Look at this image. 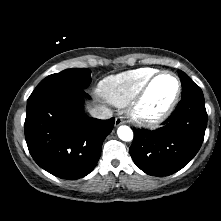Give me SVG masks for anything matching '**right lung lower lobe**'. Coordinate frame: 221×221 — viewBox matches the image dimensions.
Instances as JSON below:
<instances>
[{
  "label": "right lung lower lobe",
  "mask_w": 221,
  "mask_h": 221,
  "mask_svg": "<svg viewBox=\"0 0 221 221\" xmlns=\"http://www.w3.org/2000/svg\"><path fill=\"white\" fill-rule=\"evenodd\" d=\"M84 89L47 93L27 102L25 139L34 161L62 179H79L96 166L114 118L98 120L83 111Z\"/></svg>",
  "instance_id": "98d812e1"
}]
</instances>
